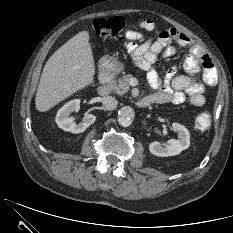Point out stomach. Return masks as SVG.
I'll return each instance as SVG.
<instances>
[{"instance_id": "0dacf381", "label": "stomach", "mask_w": 233, "mask_h": 233, "mask_svg": "<svg viewBox=\"0 0 233 233\" xmlns=\"http://www.w3.org/2000/svg\"><path fill=\"white\" fill-rule=\"evenodd\" d=\"M110 68L114 72H119L122 69V65L116 59L113 58L110 63Z\"/></svg>"}]
</instances>
